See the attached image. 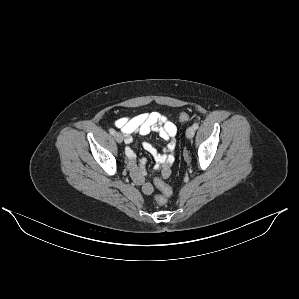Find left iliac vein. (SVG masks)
<instances>
[{"label":"left iliac vein","mask_w":299,"mask_h":299,"mask_svg":"<svg viewBox=\"0 0 299 299\" xmlns=\"http://www.w3.org/2000/svg\"><path fill=\"white\" fill-rule=\"evenodd\" d=\"M194 134H195V129L192 126L188 127L186 130L187 138H189V139L193 138Z\"/></svg>","instance_id":"obj_1"}]
</instances>
